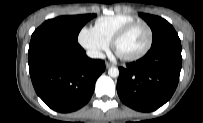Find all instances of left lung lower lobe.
Wrapping results in <instances>:
<instances>
[{"label": "left lung lower lobe", "instance_id": "0a47b994", "mask_svg": "<svg viewBox=\"0 0 203 123\" xmlns=\"http://www.w3.org/2000/svg\"><path fill=\"white\" fill-rule=\"evenodd\" d=\"M181 42L169 39L151 47L136 62L120 67L117 93L127 106L150 112L164 105L173 95L182 67Z\"/></svg>", "mask_w": 203, "mask_h": 123}]
</instances>
